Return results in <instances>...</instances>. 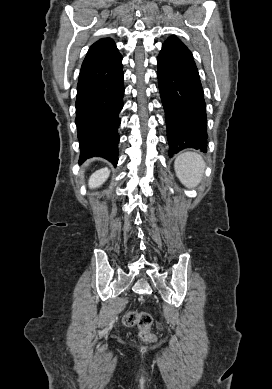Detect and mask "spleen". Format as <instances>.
Instances as JSON below:
<instances>
[{
	"label": "spleen",
	"mask_w": 272,
	"mask_h": 389,
	"mask_svg": "<svg viewBox=\"0 0 272 389\" xmlns=\"http://www.w3.org/2000/svg\"><path fill=\"white\" fill-rule=\"evenodd\" d=\"M204 168L205 162L202 156L192 151L179 154L174 163L178 179L188 188L195 187L200 183Z\"/></svg>",
	"instance_id": "obj_1"
}]
</instances>
